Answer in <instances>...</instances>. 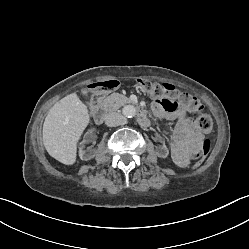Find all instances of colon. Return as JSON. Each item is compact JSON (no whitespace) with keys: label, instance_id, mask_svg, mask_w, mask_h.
Wrapping results in <instances>:
<instances>
[{"label":"colon","instance_id":"1","mask_svg":"<svg viewBox=\"0 0 249 249\" xmlns=\"http://www.w3.org/2000/svg\"><path fill=\"white\" fill-rule=\"evenodd\" d=\"M137 85L142 91L150 95L155 100L162 101L167 107L169 102H177L185 106L187 109L196 113V124L199 129L208 133L213 128V120L211 116L204 111L198 99L188 93L177 90L173 85L166 83L153 82L147 79H137ZM119 85L117 80H108L96 82L90 85L92 97L90 104L92 107L97 106L103 99L104 95L114 90ZM211 148V140L206 138L200 147L192 148L189 152L190 158L196 162L202 161Z\"/></svg>","mask_w":249,"mask_h":249}]
</instances>
